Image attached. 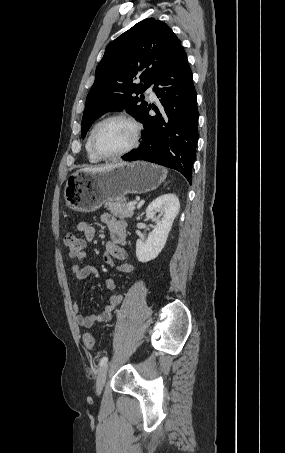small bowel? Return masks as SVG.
I'll return each instance as SVG.
<instances>
[{
	"mask_svg": "<svg viewBox=\"0 0 285 453\" xmlns=\"http://www.w3.org/2000/svg\"><path fill=\"white\" fill-rule=\"evenodd\" d=\"M102 222L107 226L109 230V240L106 243V250L103 255L104 262L116 268L118 271L126 274L134 272L135 267L133 264L126 262L127 252L123 248V245L127 240V222L124 220H117L114 217L105 214L101 217ZM77 230L82 232L87 241H92L95 237L96 228L90 222L82 220L77 224ZM87 258V254L82 252L77 257V263L72 266V273L79 280L86 279L87 277L93 276L98 277L99 272L93 265L84 264ZM116 260L122 261L120 264H116ZM109 290L115 289V282L113 279H108L106 282ZM122 295L110 294L108 295V303L104 307V310L97 314L83 315L79 312V305L74 302L72 305V311L75 315V322L80 327L90 328L96 323L107 322L110 320L112 311L121 302Z\"/></svg>",
	"mask_w": 285,
	"mask_h": 453,
	"instance_id": "obj_1",
	"label": "small bowel"
}]
</instances>
